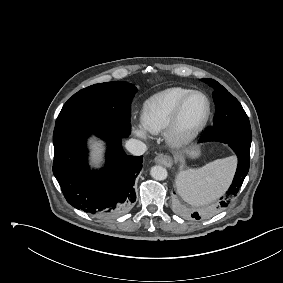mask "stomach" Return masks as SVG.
I'll return each mask as SVG.
<instances>
[{
	"label": "stomach",
	"instance_id": "0dacf381",
	"mask_svg": "<svg viewBox=\"0 0 283 283\" xmlns=\"http://www.w3.org/2000/svg\"><path fill=\"white\" fill-rule=\"evenodd\" d=\"M185 154L191 158H196L200 155V150L198 147H190L185 151Z\"/></svg>",
	"mask_w": 283,
	"mask_h": 283
}]
</instances>
